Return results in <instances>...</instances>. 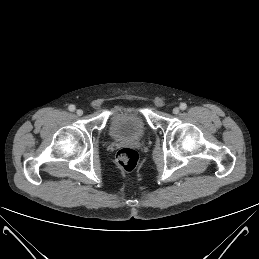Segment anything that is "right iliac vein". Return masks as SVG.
<instances>
[{
	"label": "right iliac vein",
	"instance_id": "63e3f726",
	"mask_svg": "<svg viewBox=\"0 0 259 259\" xmlns=\"http://www.w3.org/2000/svg\"><path fill=\"white\" fill-rule=\"evenodd\" d=\"M76 114H77L78 116H81V115L83 114V111H82L81 109H78V110L76 111Z\"/></svg>",
	"mask_w": 259,
	"mask_h": 259
}]
</instances>
